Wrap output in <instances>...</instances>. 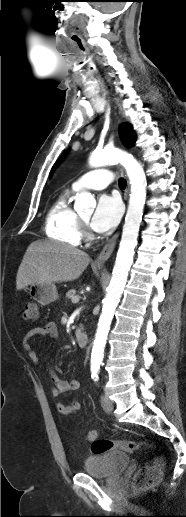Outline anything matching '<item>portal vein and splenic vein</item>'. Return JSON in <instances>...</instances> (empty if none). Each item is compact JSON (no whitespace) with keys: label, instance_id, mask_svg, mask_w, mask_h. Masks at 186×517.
Returning a JSON list of instances; mask_svg holds the SVG:
<instances>
[{"label":"portal vein and splenic vein","instance_id":"18ae733b","mask_svg":"<svg viewBox=\"0 0 186 517\" xmlns=\"http://www.w3.org/2000/svg\"><path fill=\"white\" fill-rule=\"evenodd\" d=\"M78 302H79V298L78 297L72 298V303H78Z\"/></svg>","mask_w":186,"mask_h":517}]
</instances>
